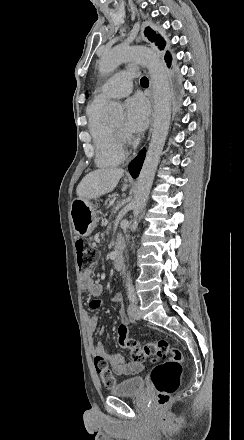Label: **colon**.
<instances>
[{
	"label": "colon",
	"mask_w": 244,
	"mask_h": 440,
	"mask_svg": "<svg viewBox=\"0 0 244 440\" xmlns=\"http://www.w3.org/2000/svg\"><path fill=\"white\" fill-rule=\"evenodd\" d=\"M75 250L76 263L80 270H85L87 266L97 263L99 259V250L95 246H91L85 239H78L76 241ZM127 327L126 324H123L117 328L119 330V345L122 349L129 351L130 357L135 363H142L147 357L155 358L154 362L157 364L152 372V381L159 402L158 407L164 410L171 395L179 387L182 371L180 365L183 362V354L166 340L146 343L142 346L137 341L127 337ZM158 360L163 362L159 363ZM93 362L103 383L107 385L115 384L116 379L109 368L107 359L97 355L94 357Z\"/></svg>",
	"instance_id": "obj_1"
}]
</instances>
